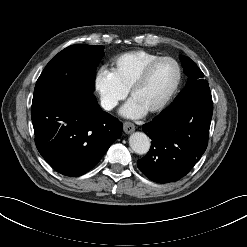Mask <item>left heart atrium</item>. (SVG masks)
<instances>
[{
	"instance_id": "1",
	"label": "left heart atrium",
	"mask_w": 247,
	"mask_h": 247,
	"mask_svg": "<svg viewBox=\"0 0 247 247\" xmlns=\"http://www.w3.org/2000/svg\"><path fill=\"white\" fill-rule=\"evenodd\" d=\"M147 109L137 100L131 98L120 110L121 115L127 118L137 119L147 113Z\"/></svg>"
}]
</instances>
